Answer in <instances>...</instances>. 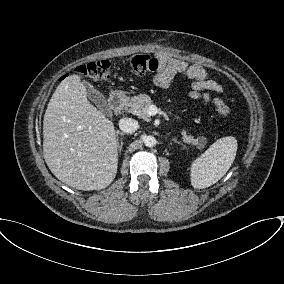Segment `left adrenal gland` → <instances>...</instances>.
<instances>
[{
    "label": "left adrenal gland",
    "instance_id": "left-adrenal-gland-1",
    "mask_svg": "<svg viewBox=\"0 0 284 284\" xmlns=\"http://www.w3.org/2000/svg\"><path fill=\"white\" fill-rule=\"evenodd\" d=\"M172 141H173L174 143H178V144L183 145L181 142L177 141V139H175V138H173Z\"/></svg>",
    "mask_w": 284,
    "mask_h": 284
}]
</instances>
